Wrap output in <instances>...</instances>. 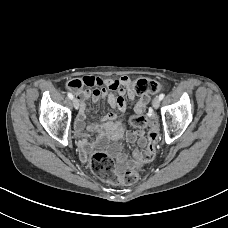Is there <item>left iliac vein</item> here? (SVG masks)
I'll return each instance as SVG.
<instances>
[{
	"label": "left iliac vein",
	"instance_id": "4c4485c4",
	"mask_svg": "<svg viewBox=\"0 0 228 228\" xmlns=\"http://www.w3.org/2000/svg\"><path fill=\"white\" fill-rule=\"evenodd\" d=\"M160 101L161 100L159 99V97L154 98V100L152 101V106H153L154 109H158L159 108Z\"/></svg>",
	"mask_w": 228,
	"mask_h": 228
}]
</instances>
